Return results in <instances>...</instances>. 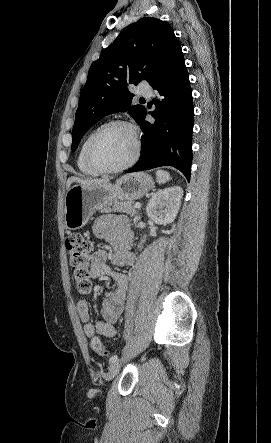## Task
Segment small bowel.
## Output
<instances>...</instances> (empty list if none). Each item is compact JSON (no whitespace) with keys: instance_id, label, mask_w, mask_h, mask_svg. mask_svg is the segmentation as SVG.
Instances as JSON below:
<instances>
[{"instance_id":"c3829d8e","label":"small bowel","mask_w":271,"mask_h":443,"mask_svg":"<svg viewBox=\"0 0 271 443\" xmlns=\"http://www.w3.org/2000/svg\"><path fill=\"white\" fill-rule=\"evenodd\" d=\"M93 234L98 239L109 241L114 248L113 263L117 266L130 265L134 261L131 252L132 233L129 227L120 219L112 215L99 217L93 227ZM108 254L105 249H98L94 255L90 268L92 278L110 276L114 282L113 290L106 293L102 305V319L93 323L90 319L89 304L86 300L77 303V312L84 326V333L92 338L95 335H102L112 338L116 336L115 323L120 317L129 284V279L125 274L114 272L106 265Z\"/></svg>"}]
</instances>
